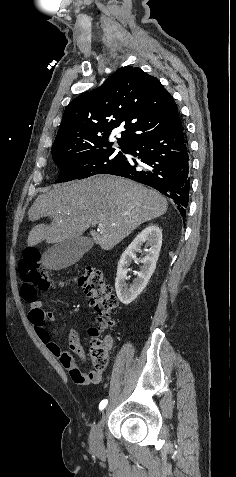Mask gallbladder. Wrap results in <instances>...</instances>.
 <instances>
[{
    "instance_id": "obj_1",
    "label": "gallbladder",
    "mask_w": 236,
    "mask_h": 477,
    "mask_svg": "<svg viewBox=\"0 0 236 477\" xmlns=\"http://www.w3.org/2000/svg\"><path fill=\"white\" fill-rule=\"evenodd\" d=\"M93 244V240L89 237L67 239L48 248L42 256V261L50 269H64L79 261Z\"/></svg>"
}]
</instances>
